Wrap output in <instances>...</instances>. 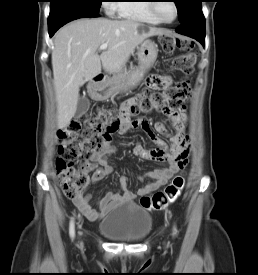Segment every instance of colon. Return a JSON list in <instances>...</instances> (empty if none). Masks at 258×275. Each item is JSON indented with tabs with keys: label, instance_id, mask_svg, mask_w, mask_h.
<instances>
[{
	"label": "colon",
	"instance_id": "5ec220e1",
	"mask_svg": "<svg viewBox=\"0 0 258 275\" xmlns=\"http://www.w3.org/2000/svg\"><path fill=\"white\" fill-rule=\"evenodd\" d=\"M160 45L167 53L176 50L183 52L172 62L175 71L185 75L193 72L196 56L189 39H179L171 34H163L160 37ZM149 84L154 89L152 93L129 102L119 112L112 109H99L92 117L81 114L59 130L56 170L66 197L81 198L89 184L90 166L87 162L79 163L80 159L91 152L100 151L111 136L120 129L135 128L136 120L132 119L133 117L153 111L169 114L179 109L191 92L188 81H181L167 90L163 89L159 79H154ZM185 183L184 174L176 175L163 190L152 196L141 197L140 205L149 210L165 209L178 198Z\"/></svg>",
	"mask_w": 258,
	"mask_h": 275
}]
</instances>
